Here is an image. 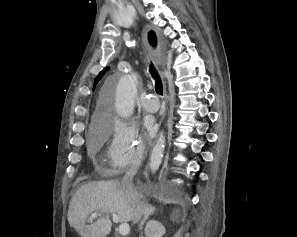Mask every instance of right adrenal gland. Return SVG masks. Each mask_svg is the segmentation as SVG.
Here are the masks:
<instances>
[{
    "label": "right adrenal gland",
    "instance_id": "2a0ac1e0",
    "mask_svg": "<svg viewBox=\"0 0 297 237\" xmlns=\"http://www.w3.org/2000/svg\"><path fill=\"white\" fill-rule=\"evenodd\" d=\"M144 206H145V213H144V217L139 225V229L142 230L146 220H148L149 216L152 215L156 208L154 206H152L151 204H149L147 202V200H144Z\"/></svg>",
    "mask_w": 297,
    "mask_h": 237
}]
</instances>
